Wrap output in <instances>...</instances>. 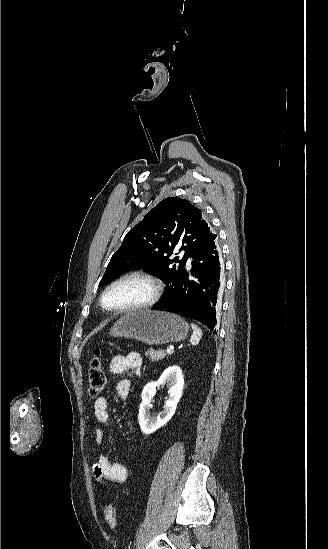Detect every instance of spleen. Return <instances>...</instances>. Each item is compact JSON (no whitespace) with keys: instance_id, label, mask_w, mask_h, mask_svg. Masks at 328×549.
Returning a JSON list of instances; mask_svg holds the SVG:
<instances>
[{"instance_id":"3e777b00","label":"spleen","mask_w":328,"mask_h":549,"mask_svg":"<svg viewBox=\"0 0 328 549\" xmlns=\"http://www.w3.org/2000/svg\"><path fill=\"white\" fill-rule=\"evenodd\" d=\"M193 329L192 337L190 339L191 345H198L200 339H202V329H199L197 325H191Z\"/></svg>"}]
</instances>
